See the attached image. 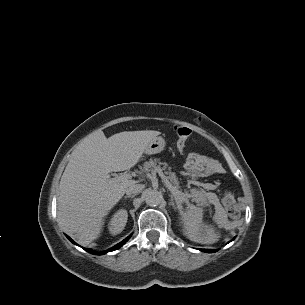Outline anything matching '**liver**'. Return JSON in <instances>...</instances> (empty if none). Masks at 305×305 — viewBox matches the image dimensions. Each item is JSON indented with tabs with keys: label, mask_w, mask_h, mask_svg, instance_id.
I'll return each mask as SVG.
<instances>
[{
	"label": "liver",
	"mask_w": 305,
	"mask_h": 305,
	"mask_svg": "<svg viewBox=\"0 0 305 305\" xmlns=\"http://www.w3.org/2000/svg\"><path fill=\"white\" fill-rule=\"evenodd\" d=\"M160 132L124 131L106 138L96 131L73 151L60 180L57 215L61 227L82 245L97 239L104 217L136 181L113 182L110 172L134 167Z\"/></svg>",
	"instance_id": "6515ba94"
}]
</instances>
